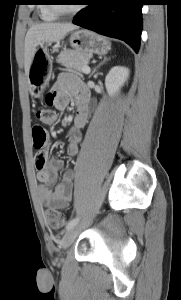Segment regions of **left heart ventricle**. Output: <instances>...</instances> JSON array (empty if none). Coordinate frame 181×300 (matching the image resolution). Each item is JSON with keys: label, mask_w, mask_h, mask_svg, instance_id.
Here are the masks:
<instances>
[{"label": "left heart ventricle", "mask_w": 181, "mask_h": 300, "mask_svg": "<svg viewBox=\"0 0 181 300\" xmlns=\"http://www.w3.org/2000/svg\"><path fill=\"white\" fill-rule=\"evenodd\" d=\"M64 9H71L73 6L69 4H60Z\"/></svg>", "instance_id": "b2bd125f"}]
</instances>
